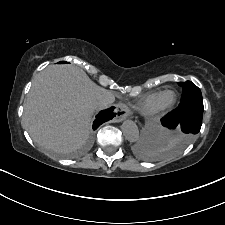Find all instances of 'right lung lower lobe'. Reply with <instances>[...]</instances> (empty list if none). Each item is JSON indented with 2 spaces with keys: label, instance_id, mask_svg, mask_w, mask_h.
<instances>
[{
  "label": "right lung lower lobe",
  "instance_id": "right-lung-lower-lobe-1",
  "mask_svg": "<svg viewBox=\"0 0 225 225\" xmlns=\"http://www.w3.org/2000/svg\"><path fill=\"white\" fill-rule=\"evenodd\" d=\"M114 107H111L107 110L101 111L97 116L93 124V129H97L103 122L113 118L115 113H113Z\"/></svg>",
  "mask_w": 225,
  "mask_h": 225
}]
</instances>
